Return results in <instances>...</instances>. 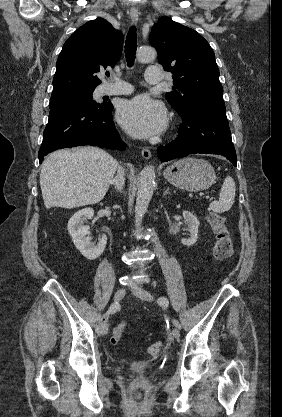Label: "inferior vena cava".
Returning a JSON list of instances; mask_svg holds the SVG:
<instances>
[{"label": "inferior vena cava", "instance_id": "obj_1", "mask_svg": "<svg viewBox=\"0 0 282 417\" xmlns=\"http://www.w3.org/2000/svg\"><path fill=\"white\" fill-rule=\"evenodd\" d=\"M124 170H122V168H118L117 170V174L115 176V178H113V180H111V182H113V184H116L118 190H121V188H123L124 186Z\"/></svg>", "mask_w": 282, "mask_h": 417}]
</instances>
